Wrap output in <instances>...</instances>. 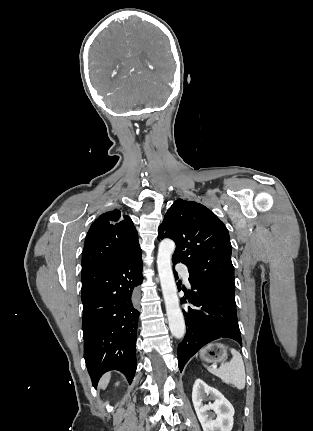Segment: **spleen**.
Listing matches in <instances>:
<instances>
[{"instance_id": "spleen-1", "label": "spleen", "mask_w": 313, "mask_h": 431, "mask_svg": "<svg viewBox=\"0 0 313 431\" xmlns=\"http://www.w3.org/2000/svg\"><path fill=\"white\" fill-rule=\"evenodd\" d=\"M232 359L216 369L207 367V370L213 375L219 377L226 383L233 384L238 389L245 387V367L241 354L234 348L230 349Z\"/></svg>"}]
</instances>
